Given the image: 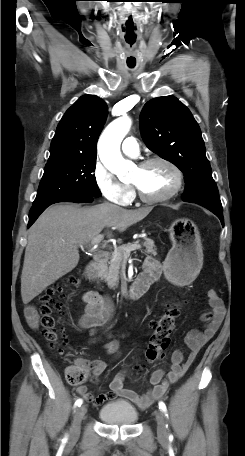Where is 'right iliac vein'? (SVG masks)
Listing matches in <instances>:
<instances>
[{"mask_svg": "<svg viewBox=\"0 0 245 456\" xmlns=\"http://www.w3.org/2000/svg\"><path fill=\"white\" fill-rule=\"evenodd\" d=\"M86 411H87V407L85 405L77 408L75 415H74L72 427L70 429L71 440H76L79 437L81 421H82Z\"/></svg>", "mask_w": 245, "mask_h": 456, "instance_id": "1", "label": "right iliac vein"}]
</instances>
